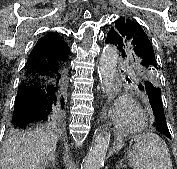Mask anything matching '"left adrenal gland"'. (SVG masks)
Returning a JSON list of instances; mask_svg holds the SVG:
<instances>
[{
  "label": "left adrenal gland",
  "instance_id": "a2214340",
  "mask_svg": "<svg viewBox=\"0 0 177 169\" xmlns=\"http://www.w3.org/2000/svg\"><path fill=\"white\" fill-rule=\"evenodd\" d=\"M124 160L122 159L121 161H120V164L117 166V169H120V168H123L124 167Z\"/></svg>",
  "mask_w": 177,
  "mask_h": 169
}]
</instances>
